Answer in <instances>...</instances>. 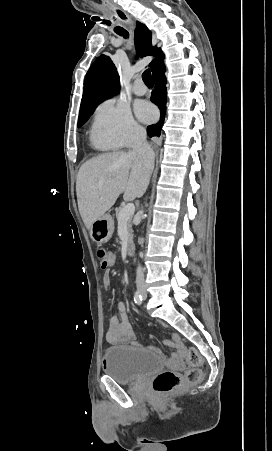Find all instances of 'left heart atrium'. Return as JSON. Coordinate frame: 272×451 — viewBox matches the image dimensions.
Segmentation results:
<instances>
[{
  "instance_id": "1",
  "label": "left heart atrium",
  "mask_w": 272,
  "mask_h": 451,
  "mask_svg": "<svg viewBox=\"0 0 272 451\" xmlns=\"http://www.w3.org/2000/svg\"><path fill=\"white\" fill-rule=\"evenodd\" d=\"M139 115L143 121H151L155 116V110L147 103H144L140 109Z\"/></svg>"
}]
</instances>
